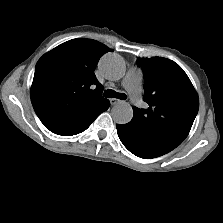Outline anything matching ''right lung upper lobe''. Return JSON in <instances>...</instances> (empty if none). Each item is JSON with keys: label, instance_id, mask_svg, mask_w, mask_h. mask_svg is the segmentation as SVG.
I'll return each instance as SVG.
<instances>
[{"label": "right lung upper lobe", "instance_id": "right-lung-upper-lobe-1", "mask_svg": "<svg viewBox=\"0 0 223 223\" xmlns=\"http://www.w3.org/2000/svg\"><path fill=\"white\" fill-rule=\"evenodd\" d=\"M111 51L104 44L80 38L43 55L35 69L31 101L41 122L53 133L70 136L86 130L110 103L94 70Z\"/></svg>", "mask_w": 223, "mask_h": 223}]
</instances>
